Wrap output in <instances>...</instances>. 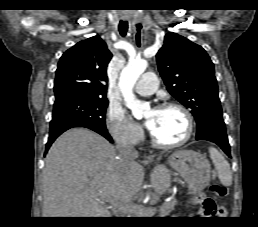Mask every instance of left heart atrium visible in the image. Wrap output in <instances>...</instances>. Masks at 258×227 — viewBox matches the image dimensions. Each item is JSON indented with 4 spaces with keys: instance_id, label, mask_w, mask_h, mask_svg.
I'll return each instance as SVG.
<instances>
[{
    "instance_id": "obj_1",
    "label": "left heart atrium",
    "mask_w": 258,
    "mask_h": 227,
    "mask_svg": "<svg viewBox=\"0 0 258 227\" xmlns=\"http://www.w3.org/2000/svg\"><path fill=\"white\" fill-rule=\"evenodd\" d=\"M146 126L151 130L152 128V122L150 120H147Z\"/></svg>"
}]
</instances>
